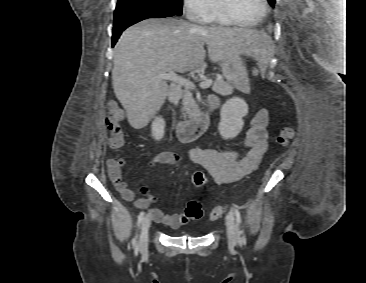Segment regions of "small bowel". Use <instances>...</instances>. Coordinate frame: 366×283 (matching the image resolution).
<instances>
[{
    "label": "small bowel",
    "instance_id": "obj_1",
    "mask_svg": "<svg viewBox=\"0 0 366 283\" xmlns=\"http://www.w3.org/2000/svg\"><path fill=\"white\" fill-rule=\"evenodd\" d=\"M219 106L216 97H210ZM268 111L260 109L251 120V125L246 134L244 143L247 153L242 155L239 151H218L215 149L193 148L188 153L189 160L204 168L218 185L235 182L242 177L254 172L268 148ZM192 140L184 141L190 142ZM180 161V156L171 151H163L157 154L149 163L174 165ZM125 161L122 158H110L107 161L109 178L123 199L134 202L137 208L148 209L156 197L149 193L146 186L141 188L143 198L135 200L134 191L122 179V169ZM151 219L165 224L173 229L179 228L186 220L179 214H165L157 208L148 209Z\"/></svg>",
    "mask_w": 366,
    "mask_h": 283
}]
</instances>
